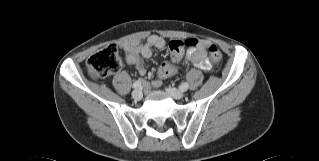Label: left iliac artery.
Listing matches in <instances>:
<instances>
[{
	"label": "left iliac artery",
	"instance_id": "44dca946",
	"mask_svg": "<svg viewBox=\"0 0 319 161\" xmlns=\"http://www.w3.org/2000/svg\"><path fill=\"white\" fill-rule=\"evenodd\" d=\"M188 87H189V84L187 82H184L180 85V90L184 92L188 89Z\"/></svg>",
	"mask_w": 319,
	"mask_h": 161
}]
</instances>
